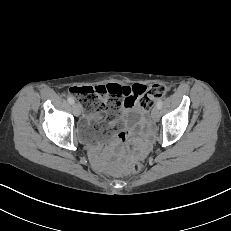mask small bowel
I'll return each instance as SVG.
<instances>
[{"label": "small bowel", "mask_w": 231, "mask_h": 231, "mask_svg": "<svg viewBox=\"0 0 231 231\" xmlns=\"http://www.w3.org/2000/svg\"><path fill=\"white\" fill-rule=\"evenodd\" d=\"M125 87H127L130 90L129 95H134L133 91L131 90L132 86H125ZM124 110H125V113H124L125 126L122 132H125L127 134V137H126L127 139L129 135L134 134L136 132V124L140 116L142 115V113L138 109L136 101L132 107H128L125 101ZM105 117H106V113L102 111L101 113H98L94 116L87 117L86 123L89 125H93L96 129H98L96 125L97 122L102 121L103 119H105ZM103 138H104V141H109L112 138H114V141L112 142L113 146H116L126 140V139L121 140L119 138V134L118 135L114 134L113 120L108 124ZM102 148H103V144H100V145L95 146L92 150V155L94 159L100 164H101V161H100L99 155L102 151ZM147 148H148L147 142H139V152L140 153H144L147 150Z\"/></svg>", "instance_id": "obj_1"}]
</instances>
